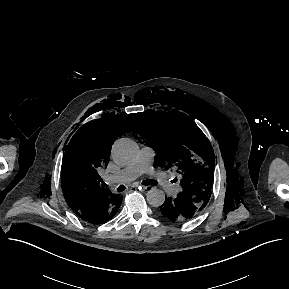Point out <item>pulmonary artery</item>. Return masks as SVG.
<instances>
[{"mask_svg": "<svg viewBox=\"0 0 289 289\" xmlns=\"http://www.w3.org/2000/svg\"><path fill=\"white\" fill-rule=\"evenodd\" d=\"M155 157V151L151 146H142L139 156L135 162L120 170L116 174L109 175L108 181L116 183H128L133 181L140 175L147 173L150 174L155 181H157L163 190L167 193H174L176 190L175 185L162 174L156 172L153 168V161Z\"/></svg>", "mask_w": 289, "mask_h": 289, "instance_id": "e3ab8cb5", "label": "pulmonary artery"}]
</instances>
